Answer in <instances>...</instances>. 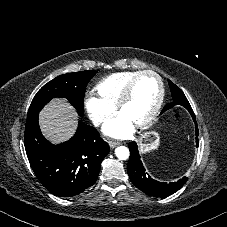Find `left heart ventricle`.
<instances>
[{"instance_id":"1","label":"left heart ventricle","mask_w":227,"mask_h":227,"mask_svg":"<svg viewBox=\"0 0 227 227\" xmlns=\"http://www.w3.org/2000/svg\"><path fill=\"white\" fill-rule=\"evenodd\" d=\"M159 85L151 75L142 76L134 89L132 97L121 109L120 114L133 125L143 121L152 110L158 96Z\"/></svg>"}]
</instances>
